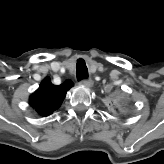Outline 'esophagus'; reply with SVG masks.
I'll list each match as a JSON object with an SVG mask.
<instances>
[{
  "label": "esophagus",
  "instance_id": "esophagus-1",
  "mask_svg": "<svg viewBox=\"0 0 164 164\" xmlns=\"http://www.w3.org/2000/svg\"><path fill=\"white\" fill-rule=\"evenodd\" d=\"M80 84L85 87H92L93 86V80L92 79H83L80 81Z\"/></svg>",
  "mask_w": 164,
  "mask_h": 164
}]
</instances>
